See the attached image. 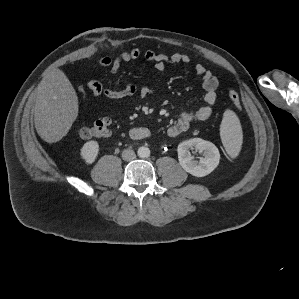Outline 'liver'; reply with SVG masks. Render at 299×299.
Segmentation results:
<instances>
[{"label":"liver","instance_id":"liver-1","mask_svg":"<svg viewBox=\"0 0 299 299\" xmlns=\"http://www.w3.org/2000/svg\"><path fill=\"white\" fill-rule=\"evenodd\" d=\"M34 123L38 135L48 143L67 135L78 116V98L71 82L60 69L50 70L35 93Z\"/></svg>","mask_w":299,"mask_h":299}]
</instances>
